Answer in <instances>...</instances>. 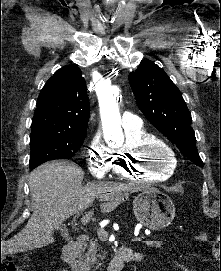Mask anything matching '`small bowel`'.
Wrapping results in <instances>:
<instances>
[{
	"instance_id": "small-bowel-1",
	"label": "small bowel",
	"mask_w": 221,
	"mask_h": 271,
	"mask_svg": "<svg viewBox=\"0 0 221 271\" xmlns=\"http://www.w3.org/2000/svg\"><path fill=\"white\" fill-rule=\"evenodd\" d=\"M133 257L136 259V258L140 257V254L139 253H133Z\"/></svg>"
}]
</instances>
